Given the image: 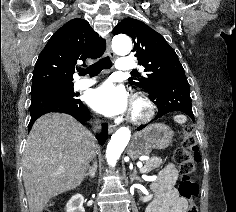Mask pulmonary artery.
Instances as JSON below:
<instances>
[{
	"instance_id": "pulmonary-artery-1",
	"label": "pulmonary artery",
	"mask_w": 236,
	"mask_h": 212,
	"mask_svg": "<svg viewBox=\"0 0 236 212\" xmlns=\"http://www.w3.org/2000/svg\"><path fill=\"white\" fill-rule=\"evenodd\" d=\"M137 66L134 60L125 58H119L116 63V69L119 71H128L134 69ZM96 83L95 79H81L75 82L74 88L77 90L86 89Z\"/></svg>"
}]
</instances>
